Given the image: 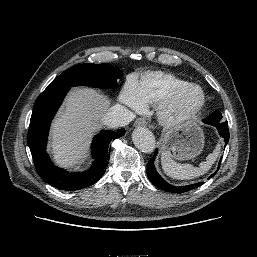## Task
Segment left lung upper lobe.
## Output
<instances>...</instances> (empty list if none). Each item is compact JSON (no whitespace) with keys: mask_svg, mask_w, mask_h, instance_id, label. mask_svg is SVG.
Returning a JSON list of instances; mask_svg holds the SVG:
<instances>
[{"mask_svg":"<svg viewBox=\"0 0 257 257\" xmlns=\"http://www.w3.org/2000/svg\"><path fill=\"white\" fill-rule=\"evenodd\" d=\"M221 118H222V116H221L220 112L215 111V112H213L211 115H209V116L204 120V122L207 123V124L216 125V124H218V123H221V122H220Z\"/></svg>","mask_w":257,"mask_h":257,"instance_id":"5c2ea615","label":"left lung upper lobe"}]
</instances>
